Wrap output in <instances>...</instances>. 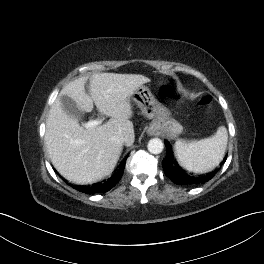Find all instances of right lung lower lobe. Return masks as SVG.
Wrapping results in <instances>:
<instances>
[{"mask_svg":"<svg viewBox=\"0 0 264 264\" xmlns=\"http://www.w3.org/2000/svg\"><path fill=\"white\" fill-rule=\"evenodd\" d=\"M125 162L122 164L120 170H118L117 173H115L112 177L107 179V181H104L103 183H97L92 186H74V188L84 193H100L109 191L121 179L125 168Z\"/></svg>","mask_w":264,"mask_h":264,"instance_id":"1","label":"right lung lower lobe"}]
</instances>
